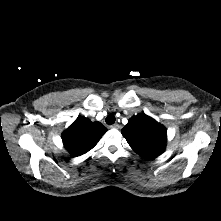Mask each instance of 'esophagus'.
Listing matches in <instances>:
<instances>
[{
    "mask_svg": "<svg viewBox=\"0 0 221 221\" xmlns=\"http://www.w3.org/2000/svg\"><path fill=\"white\" fill-rule=\"evenodd\" d=\"M110 127L113 128V129H119L120 125L115 123V124L111 125Z\"/></svg>",
    "mask_w": 221,
    "mask_h": 221,
    "instance_id": "obj_1",
    "label": "esophagus"
}]
</instances>
